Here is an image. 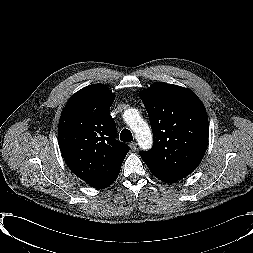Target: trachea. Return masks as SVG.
<instances>
[{
  "label": "trachea",
  "mask_w": 253,
  "mask_h": 253,
  "mask_svg": "<svg viewBox=\"0 0 253 253\" xmlns=\"http://www.w3.org/2000/svg\"><path fill=\"white\" fill-rule=\"evenodd\" d=\"M120 140L123 142H131L133 140L131 131L128 129H123L120 133Z\"/></svg>",
  "instance_id": "trachea-1"
}]
</instances>
